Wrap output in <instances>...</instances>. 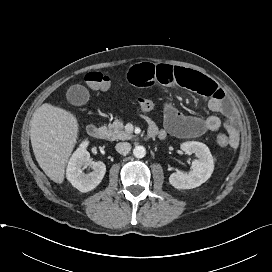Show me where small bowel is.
I'll return each mask as SVG.
<instances>
[{
    "mask_svg": "<svg viewBox=\"0 0 272 272\" xmlns=\"http://www.w3.org/2000/svg\"><path fill=\"white\" fill-rule=\"evenodd\" d=\"M129 81L137 87H150L155 84L172 87L180 86L206 96L209 109L226 117L223 122L218 116L208 117L187 116L180 112L172 103L163 104L164 125H157L145 116L152 136L164 138L172 135L178 138L198 137L206 132L217 131L224 127L228 133L229 145L237 148L239 133L234 107L227 100L224 91L208 77L178 66L142 62L134 66L128 74Z\"/></svg>",
    "mask_w": 272,
    "mask_h": 272,
    "instance_id": "1",
    "label": "small bowel"
}]
</instances>
